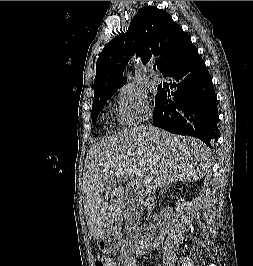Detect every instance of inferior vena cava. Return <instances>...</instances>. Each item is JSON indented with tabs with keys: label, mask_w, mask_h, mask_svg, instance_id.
Instances as JSON below:
<instances>
[{
	"label": "inferior vena cava",
	"mask_w": 253,
	"mask_h": 266,
	"mask_svg": "<svg viewBox=\"0 0 253 266\" xmlns=\"http://www.w3.org/2000/svg\"><path fill=\"white\" fill-rule=\"evenodd\" d=\"M149 119L148 115H145V121ZM157 190V183H154V185H151L147 188V192L145 194V203L147 204L150 200H153L155 197V192Z\"/></svg>",
	"instance_id": "602c4592"
}]
</instances>
